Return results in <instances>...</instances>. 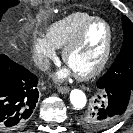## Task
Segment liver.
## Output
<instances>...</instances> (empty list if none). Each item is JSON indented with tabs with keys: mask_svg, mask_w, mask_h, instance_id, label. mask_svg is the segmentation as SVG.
<instances>
[{
	"mask_svg": "<svg viewBox=\"0 0 133 133\" xmlns=\"http://www.w3.org/2000/svg\"><path fill=\"white\" fill-rule=\"evenodd\" d=\"M11 46L15 47V44H14V42H11Z\"/></svg>",
	"mask_w": 133,
	"mask_h": 133,
	"instance_id": "liver-1",
	"label": "liver"
}]
</instances>
